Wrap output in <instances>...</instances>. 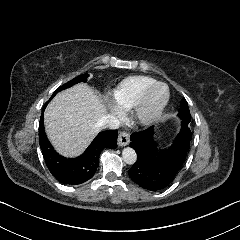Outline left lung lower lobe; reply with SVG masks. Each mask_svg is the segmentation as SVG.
<instances>
[{
	"instance_id": "left-lung-lower-lobe-1",
	"label": "left lung lower lobe",
	"mask_w": 240,
	"mask_h": 240,
	"mask_svg": "<svg viewBox=\"0 0 240 240\" xmlns=\"http://www.w3.org/2000/svg\"><path fill=\"white\" fill-rule=\"evenodd\" d=\"M191 139L189 125L183 121L179 134L168 149L157 148L153 127L131 134L130 146L137 153V161L128 170L130 178L146 190L164 189L182 167Z\"/></svg>"
}]
</instances>
